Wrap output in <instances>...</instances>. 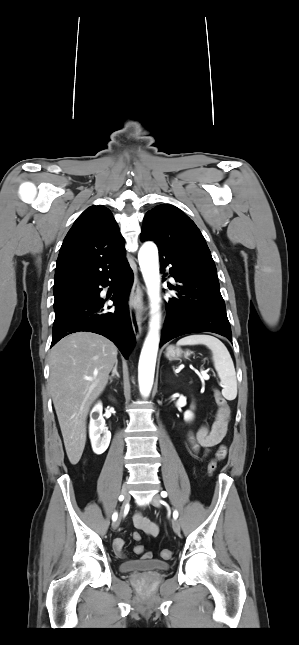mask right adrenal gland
<instances>
[{"mask_svg":"<svg viewBox=\"0 0 299 645\" xmlns=\"http://www.w3.org/2000/svg\"><path fill=\"white\" fill-rule=\"evenodd\" d=\"M117 367H118V361H116V362H115L114 368H113V370H112V374H111V376L109 377L110 384L113 382V378H114L115 376H116L117 378H120V375H119V373H118V371H117Z\"/></svg>","mask_w":299,"mask_h":645,"instance_id":"1","label":"right adrenal gland"}]
</instances>
